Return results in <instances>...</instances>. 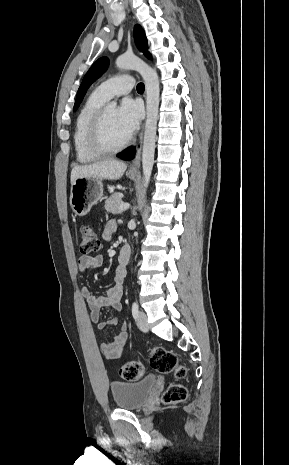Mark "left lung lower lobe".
Instances as JSON below:
<instances>
[{
    "mask_svg": "<svg viewBox=\"0 0 289 465\" xmlns=\"http://www.w3.org/2000/svg\"><path fill=\"white\" fill-rule=\"evenodd\" d=\"M135 155V148H130L126 151H123L117 155V157L124 159V160H130L134 157Z\"/></svg>",
    "mask_w": 289,
    "mask_h": 465,
    "instance_id": "obj_1",
    "label": "left lung lower lobe"
}]
</instances>
